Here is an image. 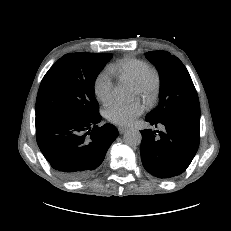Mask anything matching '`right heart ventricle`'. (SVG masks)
I'll use <instances>...</instances> for the list:
<instances>
[{"mask_svg": "<svg viewBox=\"0 0 231 231\" xmlns=\"http://www.w3.org/2000/svg\"><path fill=\"white\" fill-rule=\"evenodd\" d=\"M149 67V63L143 59L125 57L112 64L109 72L122 82L134 84Z\"/></svg>", "mask_w": 231, "mask_h": 231, "instance_id": "1", "label": "right heart ventricle"}]
</instances>
